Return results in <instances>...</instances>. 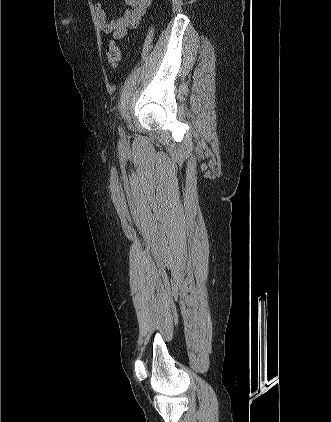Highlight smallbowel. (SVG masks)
<instances>
[{
  "mask_svg": "<svg viewBox=\"0 0 331 422\" xmlns=\"http://www.w3.org/2000/svg\"><path fill=\"white\" fill-rule=\"evenodd\" d=\"M152 0H124L127 6L117 18L108 21L106 12L101 2L94 4L95 17L100 31L104 34H112L115 39H123L129 30L135 28Z\"/></svg>",
  "mask_w": 331,
  "mask_h": 422,
  "instance_id": "c3829d8e",
  "label": "small bowel"
}]
</instances>
